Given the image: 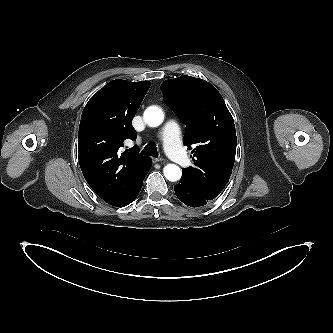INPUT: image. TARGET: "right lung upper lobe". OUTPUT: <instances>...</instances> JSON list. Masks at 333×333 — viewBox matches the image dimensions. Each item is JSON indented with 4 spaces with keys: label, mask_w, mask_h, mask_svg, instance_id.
Segmentation results:
<instances>
[{
    "label": "right lung upper lobe",
    "mask_w": 333,
    "mask_h": 333,
    "mask_svg": "<svg viewBox=\"0 0 333 333\" xmlns=\"http://www.w3.org/2000/svg\"><path fill=\"white\" fill-rule=\"evenodd\" d=\"M151 83L113 80L86 104L80 121L78 158L83 175L110 205H127L152 161L136 146L122 152L126 139L136 140L131 123Z\"/></svg>",
    "instance_id": "right-lung-upper-lobe-1"
}]
</instances>
